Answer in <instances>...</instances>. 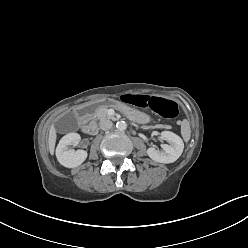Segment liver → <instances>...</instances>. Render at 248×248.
I'll return each instance as SVG.
<instances>
[{"instance_id":"1","label":"liver","mask_w":248,"mask_h":248,"mask_svg":"<svg viewBox=\"0 0 248 248\" xmlns=\"http://www.w3.org/2000/svg\"><path fill=\"white\" fill-rule=\"evenodd\" d=\"M56 138H57L56 129L54 125H52L50 128L49 137H48L49 151L51 154L54 153Z\"/></svg>"}]
</instances>
